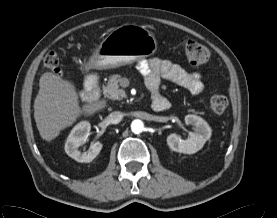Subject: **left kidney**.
I'll return each instance as SVG.
<instances>
[{"mask_svg":"<svg viewBox=\"0 0 277 218\" xmlns=\"http://www.w3.org/2000/svg\"><path fill=\"white\" fill-rule=\"evenodd\" d=\"M186 125H192L194 132H189L188 139L182 140L177 134L172 133L167 137V144L171 150L183 154H194L211 137V128L200 116L189 114L185 116Z\"/></svg>","mask_w":277,"mask_h":218,"instance_id":"obj_1","label":"left kidney"}]
</instances>
